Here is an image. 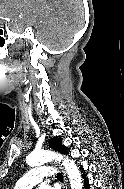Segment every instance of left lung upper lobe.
Segmentation results:
<instances>
[{
    "instance_id": "obj_1",
    "label": "left lung upper lobe",
    "mask_w": 124,
    "mask_h": 189,
    "mask_svg": "<svg viewBox=\"0 0 124 189\" xmlns=\"http://www.w3.org/2000/svg\"><path fill=\"white\" fill-rule=\"evenodd\" d=\"M49 144H50V147L54 150H57V151H60V152H63V153H68V150L67 148L62 145L61 141L59 139H51L49 141Z\"/></svg>"
}]
</instances>
